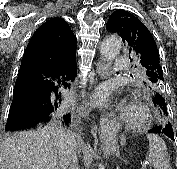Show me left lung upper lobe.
Masks as SVG:
<instances>
[{
  "label": "left lung upper lobe",
  "mask_w": 177,
  "mask_h": 169,
  "mask_svg": "<svg viewBox=\"0 0 177 169\" xmlns=\"http://www.w3.org/2000/svg\"><path fill=\"white\" fill-rule=\"evenodd\" d=\"M106 28L121 36L122 41L129 50V54L139 61L141 64L140 70L145 79L144 83L148 85L155 96L161 98L159 106L164 115L167 116L165 100L159 95L164 81L163 70L159 60L157 45L150 31L140 20L125 10L114 11L109 17ZM163 125H168L172 128L166 118Z\"/></svg>",
  "instance_id": "1"
}]
</instances>
